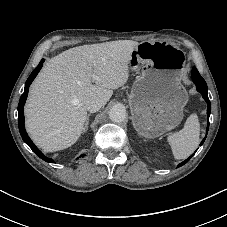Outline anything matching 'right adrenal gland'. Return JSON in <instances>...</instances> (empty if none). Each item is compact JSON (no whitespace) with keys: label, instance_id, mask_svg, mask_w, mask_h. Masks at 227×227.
Listing matches in <instances>:
<instances>
[{"label":"right adrenal gland","instance_id":"2a0ac1e0","mask_svg":"<svg viewBox=\"0 0 227 227\" xmlns=\"http://www.w3.org/2000/svg\"><path fill=\"white\" fill-rule=\"evenodd\" d=\"M91 114H88L87 118H86V123H85V127H84V132H86V130L88 129V124H89V118H90Z\"/></svg>","mask_w":227,"mask_h":227}]
</instances>
